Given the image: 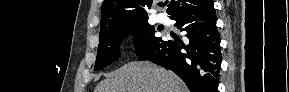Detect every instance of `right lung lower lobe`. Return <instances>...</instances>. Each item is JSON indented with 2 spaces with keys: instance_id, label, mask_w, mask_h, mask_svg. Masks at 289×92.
Listing matches in <instances>:
<instances>
[{
  "instance_id": "obj_1",
  "label": "right lung lower lobe",
  "mask_w": 289,
  "mask_h": 92,
  "mask_svg": "<svg viewBox=\"0 0 289 92\" xmlns=\"http://www.w3.org/2000/svg\"><path fill=\"white\" fill-rule=\"evenodd\" d=\"M171 19L185 31V39L165 41L162 38L139 55L174 71L191 92H215L221 65L220 37L216 26L213 0L176 14Z\"/></svg>"
}]
</instances>
